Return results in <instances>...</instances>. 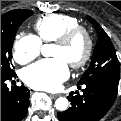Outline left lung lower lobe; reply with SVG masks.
Returning a JSON list of instances; mask_svg holds the SVG:
<instances>
[{
  "mask_svg": "<svg viewBox=\"0 0 121 121\" xmlns=\"http://www.w3.org/2000/svg\"><path fill=\"white\" fill-rule=\"evenodd\" d=\"M83 95L71 92L68 99L71 107L64 112H58L60 121H98L113 105L118 91V85L103 81H93L83 84ZM78 89H81L79 85Z\"/></svg>",
  "mask_w": 121,
  "mask_h": 121,
  "instance_id": "obj_1",
  "label": "left lung lower lobe"
}]
</instances>
